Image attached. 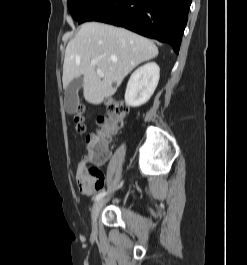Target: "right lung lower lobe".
Listing matches in <instances>:
<instances>
[{
	"label": "right lung lower lobe",
	"instance_id": "1",
	"mask_svg": "<svg viewBox=\"0 0 247 265\" xmlns=\"http://www.w3.org/2000/svg\"><path fill=\"white\" fill-rule=\"evenodd\" d=\"M192 0H98L79 20L125 27L169 43L178 54Z\"/></svg>",
	"mask_w": 247,
	"mask_h": 265
}]
</instances>
